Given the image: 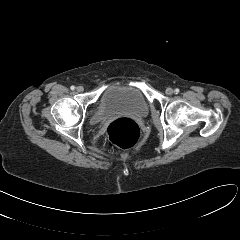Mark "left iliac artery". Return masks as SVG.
I'll return each instance as SVG.
<instances>
[{"instance_id":"44dca946","label":"left iliac artery","mask_w":240,"mask_h":240,"mask_svg":"<svg viewBox=\"0 0 240 240\" xmlns=\"http://www.w3.org/2000/svg\"><path fill=\"white\" fill-rule=\"evenodd\" d=\"M174 92H175V94H178V93H179V89L176 88V89L174 90Z\"/></svg>"}]
</instances>
